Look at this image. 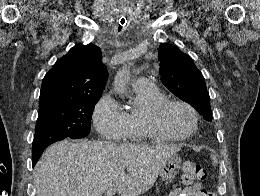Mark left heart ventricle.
Listing matches in <instances>:
<instances>
[{"label": "left heart ventricle", "instance_id": "b2bd125f", "mask_svg": "<svg viewBox=\"0 0 260 196\" xmlns=\"http://www.w3.org/2000/svg\"><path fill=\"white\" fill-rule=\"evenodd\" d=\"M159 125L166 133L181 136L194 128L195 121L189 110L179 105H172L160 116Z\"/></svg>", "mask_w": 260, "mask_h": 196}]
</instances>
